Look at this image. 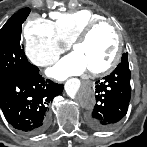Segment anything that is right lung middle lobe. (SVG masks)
<instances>
[{"mask_svg": "<svg viewBox=\"0 0 147 147\" xmlns=\"http://www.w3.org/2000/svg\"><path fill=\"white\" fill-rule=\"evenodd\" d=\"M29 12V8L19 10L0 30V80L35 67L28 62L20 44L22 23Z\"/></svg>", "mask_w": 147, "mask_h": 147, "instance_id": "obj_1", "label": "right lung middle lobe"}]
</instances>
